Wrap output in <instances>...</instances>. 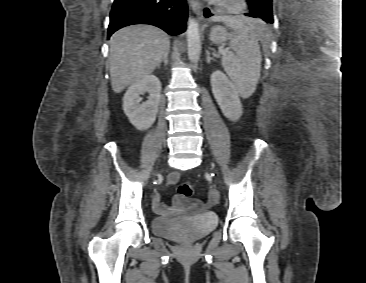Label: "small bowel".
Here are the masks:
<instances>
[{
	"instance_id": "c3829d8e",
	"label": "small bowel",
	"mask_w": 366,
	"mask_h": 283,
	"mask_svg": "<svg viewBox=\"0 0 366 283\" xmlns=\"http://www.w3.org/2000/svg\"><path fill=\"white\" fill-rule=\"evenodd\" d=\"M180 178V174L178 172H173L170 176H169V179H168V184L169 185H173L175 183L178 182ZM153 203H154V206L156 208V210L162 214H167L170 212V209L169 207L163 203L161 200H160V196L159 195H155L154 197V200H153ZM176 204L178 206H181V201L179 199L176 200Z\"/></svg>"
}]
</instances>
